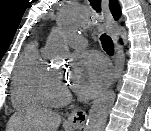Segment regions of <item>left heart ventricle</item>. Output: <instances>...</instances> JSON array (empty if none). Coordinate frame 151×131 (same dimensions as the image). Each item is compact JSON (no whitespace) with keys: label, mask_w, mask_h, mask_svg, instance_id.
Segmentation results:
<instances>
[{"label":"left heart ventricle","mask_w":151,"mask_h":131,"mask_svg":"<svg viewBox=\"0 0 151 131\" xmlns=\"http://www.w3.org/2000/svg\"><path fill=\"white\" fill-rule=\"evenodd\" d=\"M55 71L57 72V75L52 82V86L55 90H60L61 88L66 87V86H65V83L63 81L60 70H55Z\"/></svg>","instance_id":"1"}]
</instances>
